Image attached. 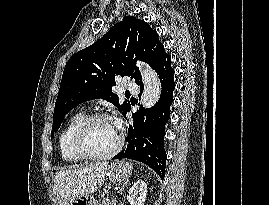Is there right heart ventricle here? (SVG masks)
<instances>
[{
    "mask_svg": "<svg viewBox=\"0 0 269 205\" xmlns=\"http://www.w3.org/2000/svg\"><path fill=\"white\" fill-rule=\"evenodd\" d=\"M86 117L85 112H78L71 116L59 136L60 154L62 159L68 163H78L83 160L73 148V135Z\"/></svg>",
    "mask_w": 269,
    "mask_h": 205,
    "instance_id": "e07e8e85",
    "label": "right heart ventricle"
}]
</instances>
